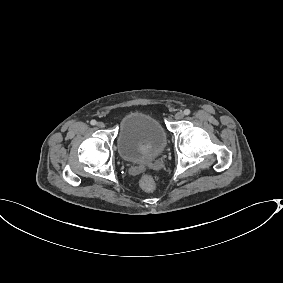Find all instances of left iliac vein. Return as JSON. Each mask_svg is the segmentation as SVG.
I'll return each instance as SVG.
<instances>
[{
    "label": "left iliac vein",
    "mask_w": 283,
    "mask_h": 283,
    "mask_svg": "<svg viewBox=\"0 0 283 283\" xmlns=\"http://www.w3.org/2000/svg\"><path fill=\"white\" fill-rule=\"evenodd\" d=\"M183 117H184V113L183 112H177L175 114V119L176 120H181V119H183Z\"/></svg>",
    "instance_id": "left-iliac-vein-1"
}]
</instances>
